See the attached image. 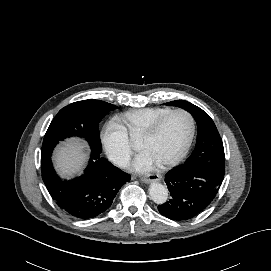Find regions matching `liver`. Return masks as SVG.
Masks as SVG:
<instances>
[{
	"label": "liver",
	"mask_w": 271,
	"mask_h": 271,
	"mask_svg": "<svg viewBox=\"0 0 271 271\" xmlns=\"http://www.w3.org/2000/svg\"><path fill=\"white\" fill-rule=\"evenodd\" d=\"M88 148L79 139H72L60 146L55 153V164L58 172L70 177L82 172L88 159Z\"/></svg>",
	"instance_id": "obj_1"
}]
</instances>
